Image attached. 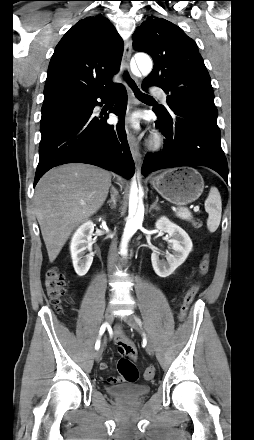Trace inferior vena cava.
<instances>
[{"label": "inferior vena cava", "instance_id": "obj_1", "mask_svg": "<svg viewBox=\"0 0 254 440\" xmlns=\"http://www.w3.org/2000/svg\"><path fill=\"white\" fill-rule=\"evenodd\" d=\"M116 242L113 241L110 246L109 255H108V269L109 271H113L117 262V254H116Z\"/></svg>", "mask_w": 254, "mask_h": 440}]
</instances>
